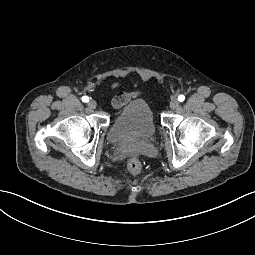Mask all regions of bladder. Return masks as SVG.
<instances>
[{
	"label": "bladder",
	"instance_id": "bladder-1",
	"mask_svg": "<svg viewBox=\"0 0 255 255\" xmlns=\"http://www.w3.org/2000/svg\"><path fill=\"white\" fill-rule=\"evenodd\" d=\"M156 123L149 104L134 98L123 105L115 115L108 132L112 143L140 141L156 134Z\"/></svg>",
	"mask_w": 255,
	"mask_h": 255
}]
</instances>
